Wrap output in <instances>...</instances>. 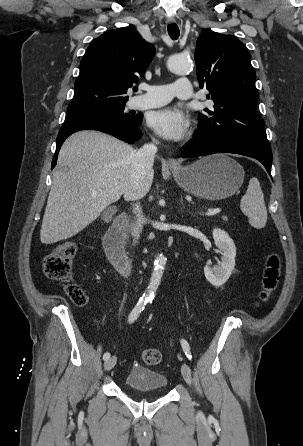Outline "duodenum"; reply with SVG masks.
<instances>
[{
    "instance_id": "obj_1",
    "label": "duodenum",
    "mask_w": 303,
    "mask_h": 446,
    "mask_svg": "<svg viewBox=\"0 0 303 446\" xmlns=\"http://www.w3.org/2000/svg\"><path fill=\"white\" fill-rule=\"evenodd\" d=\"M128 224V214H119L108 229L104 238V249L108 258L118 269L125 273L130 271V262L124 248Z\"/></svg>"
}]
</instances>
